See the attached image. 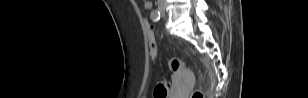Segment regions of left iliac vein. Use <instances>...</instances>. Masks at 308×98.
I'll return each mask as SVG.
<instances>
[{"label":"left iliac vein","mask_w":308,"mask_h":98,"mask_svg":"<svg viewBox=\"0 0 308 98\" xmlns=\"http://www.w3.org/2000/svg\"><path fill=\"white\" fill-rule=\"evenodd\" d=\"M164 14H165V12L163 11V12H162V15H164Z\"/></svg>","instance_id":"1"}]
</instances>
